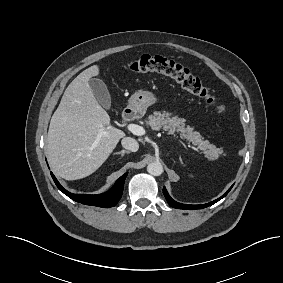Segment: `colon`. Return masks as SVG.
Here are the masks:
<instances>
[{
    "instance_id": "obj_1",
    "label": "colon",
    "mask_w": 283,
    "mask_h": 283,
    "mask_svg": "<svg viewBox=\"0 0 283 283\" xmlns=\"http://www.w3.org/2000/svg\"><path fill=\"white\" fill-rule=\"evenodd\" d=\"M130 68L136 73H159L170 77L184 90L203 99L217 113L225 114L228 111V106L221 103L217 96L198 77L173 60L161 56L144 55L134 60Z\"/></svg>"
}]
</instances>
